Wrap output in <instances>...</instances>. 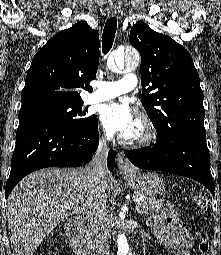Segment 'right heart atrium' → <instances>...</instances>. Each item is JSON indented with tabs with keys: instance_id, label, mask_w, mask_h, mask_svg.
Instances as JSON below:
<instances>
[{
	"instance_id": "right-heart-atrium-1",
	"label": "right heart atrium",
	"mask_w": 221,
	"mask_h": 255,
	"mask_svg": "<svg viewBox=\"0 0 221 255\" xmlns=\"http://www.w3.org/2000/svg\"><path fill=\"white\" fill-rule=\"evenodd\" d=\"M101 141H104V137H101Z\"/></svg>"
}]
</instances>
